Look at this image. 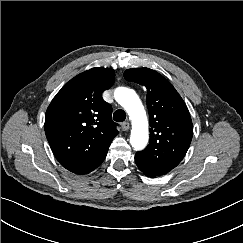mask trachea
I'll use <instances>...</instances> for the list:
<instances>
[{
	"label": "trachea",
	"mask_w": 243,
	"mask_h": 243,
	"mask_svg": "<svg viewBox=\"0 0 243 243\" xmlns=\"http://www.w3.org/2000/svg\"><path fill=\"white\" fill-rule=\"evenodd\" d=\"M126 118V113L119 109V110H116L113 114V119L116 121V122H123Z\"/></svg>",
	"instance_id": "1"
}]
</instances>
